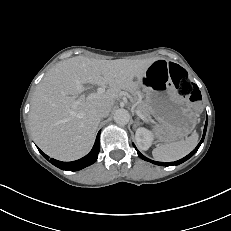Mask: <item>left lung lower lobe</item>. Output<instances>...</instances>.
<instances>
[{"mask_svg": "<svg viewBox=\"0 0 231 231\" xmlns=\"http://www.w3.org/2000/svg\"><path fill=\"white\" fill-rule=\"evenodd\" d=\"M206 129H207V121H206V124H205V127H204L203 137H202L200 143L197 145V147H196L190 154H188L186 157H184V158H182V159H180V160H178V161H175V162L163 163V162H157V161L150 160V159L146 158L144 155H142V154L137 150V148L135 147L134 144H133V146H134L135 149L137 150V153H138L139 157L142 158V159L145 160V161L152 162L153 164L160 165V166L179 165V164L185 162L186 160H188L190 157H192V156L197 152V150L199 149L200 145L202 144V142H203V140H204L205 133H206Z\"/></svg>", "mask_w": 231, "mask_h": 231, "instance_id": "left-lung-lower-lobe-1", "label": "left lung lower lobe"}]
</instances>
